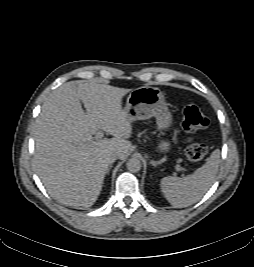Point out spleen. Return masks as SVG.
<instances>
[{
    "instance_id": "3e777b00",
    "label": "spleen",
    "mask_w": 254,
    "mask_h": 267,
    "mask_svg": "<svg viewBox=\"0 0 254 267\" xmlns=\"http://www.w3.org/2000/svg\"><path fill=\"white\" fill-rule=\"evenodd\" d=\"M220 164V150L212 152L206 163L183 178L166 176L161 179V190L175 208L188 207L198 202L215 181Z\"/></svg>"
}]
</instances>
